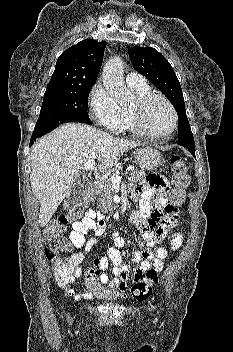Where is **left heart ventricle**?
I'll return each mask as SVG.
<instances>
[{
  "label": "left heart ventricle",
  "instance_id": "left-heart-ventricle-1",
  "mask_svg": "<svg viewBox=\"0 0 233 352\" xmlns=\"http://www.w3.org/2000/svg\"><path fill=\"white\" fill-rule=\"evenodd\" d=\"M172 122V113L163 101L155 100L147 107L144 123L149 131L164 133L171 128Z\"/></svg>",
  "mask_w": 233,
  "mask_h": 352
}]
</instances>
